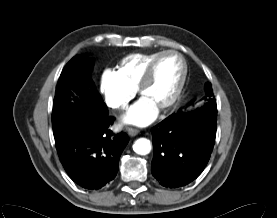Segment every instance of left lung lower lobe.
<instances>
[{
	"instance_id": "obj_1",
	"label": "left lung lower lobe",
	"mask_w": 277,
	"mask_h": 218,
	"mask_svg": "<svg viewBox=\"0 0 277 218\" xmlns=\"http://www.w3.org/2000/svg\"><path fill=\"white\" fill-rule=\"evenodd\" d=\"M217 107L206 106L170 115L152 128L153 176L165 187L184 186L207 165L216 136Z\"/></svg>"
}]
</instances>
